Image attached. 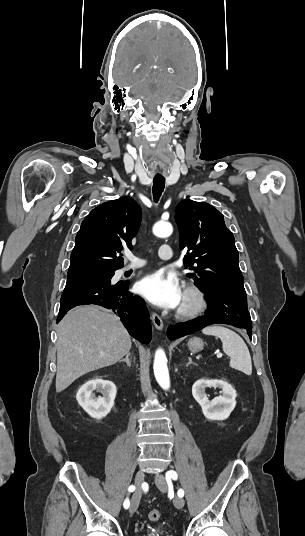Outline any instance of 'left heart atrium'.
<instances>
[{"label": "left heart atrium", "mask_w": 305, "mask_h": 536, "mask_svg": "<svg viewBox=\"0 0 305 536\" xmlns=\"http://www.w3.org/2000/svg\"><path fill=\"white\" fill-rule=\"evenodd\" d=\"M136 290L143 298L158 307L175 308L182 300L178 281L159 272L143 277L137 283Z\"/></svg>", "instance_id": "1"}]
</instances>
